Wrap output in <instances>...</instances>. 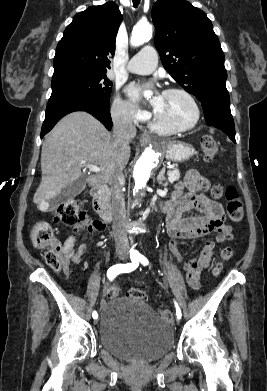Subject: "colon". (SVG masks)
Returning a JSON list of instances; mask_svg holds the SVG:
<instances>
[{"label":"colon","instance_id":"obj_1","mask_svg":"<svg viewBox=\"0 0 267 391\" xmlns=\"http://www.w3.org/2000/svg\"><path fill=\"white\" fill-rule=\"evenodd\" d=\"M201 148L206 161H211L218 151V143L210 135H204L201 139ZM222 188L216 186L213 188V196L218 198L222 195ZM226 199V209L228 216L233 222H240L244 217L243 204L239 197L237 189L229 186L224 191ZM54 221L74 226L87 218L81 211V204L77 199H68L52 208ZM31 241L34 247L44 252L47 264L54 270L59 271L64 267V258L60 252V246L56 239L54 229L45 221L37 222L30 233ZM233 249L229 246L223 247L220 251V260L215 264L213 272L219 274L226 261L231 259ZM120 294V288L116 285L108 290L110 298H117ZM128 295L140 300L145 299V292L139 288H132ZM159 316L163 321L170 324L173 320L172 312L168 309L161 310Z\"/></svg>","mask_w":267,"mask_h":391}]
</instances>
